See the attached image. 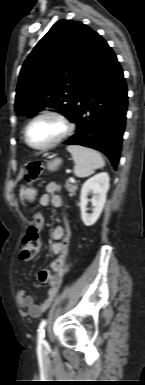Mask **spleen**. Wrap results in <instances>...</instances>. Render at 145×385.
I'll list each match as a JSON object with an SVG mask.
<instances>
[{
  "label": "spleen",
  "instance_id": "1",
  "mask_svg": "<svg viewBox=\"0 0 145 385\" xmlns=\"http://www.w3.org/2000/svg\"><path fill=\"white\" fill-rule=\"evenodd\" d=\"M75 162L74 173L77 177L84 178L92 175L96 169L105 166L99 152L80 145L67 146Z\"/></svg>",
  "mask_w": 145,
  "mask_h": 385
}]
</instances>
